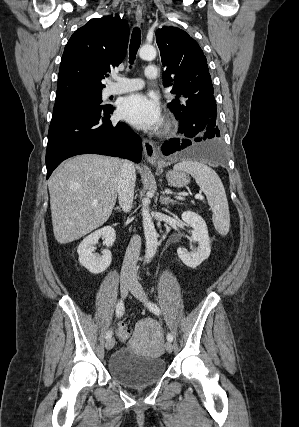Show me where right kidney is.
<instances>
[{"instance_id":"right-kidney-1","label":"right kidney","mask_w":299,"mask_h":427,"mask_svg":"<svg viewBox=\"0 0 299 427\" xmlns=\"http://www.w3.org/2000/svg\"><path fill=\"white\" fill-rule=\"evenodd\" d=\"M101 237L104 238L103 245L108 248L115 242V230L111 226L101 228L84 238L77 249L80 264L93 274L105 271L112 261V255L108 249L103 250L101 255L94 253V245Z\"/></svg>"}]
</instances>
